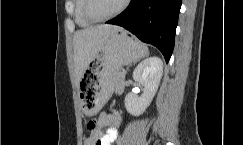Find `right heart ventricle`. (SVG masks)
I'll return each instance as SVG.
<instances>
[{
  "label": "right heart ventricle",
  "mask_w": 243,
  "mask_h": 145,
  "mask_svg": "<svg viewBox=\"0 0 243 145\" xmlns=\"http://www.w3.org/2000/svg\"><path fill=\"white\" fill-rule=\"evenodd\" d=\"M84 2V0H75L74 13L76 23L82 28H87L92 25V22L89 21L84 15Z\"/></svg>",
  "instance_id": "1"
}]
</instances>
